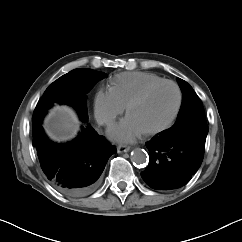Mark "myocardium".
Returning <instances> with one entry per match:
<instances>
[{
	"mask_svg": "<svg viewBox=\"0 0 242 242\" xmlns=\"http://www.w3.org/2000/svg\"><path fill=\"white\" fill-rule=\"evenodd\" d=\"M164 84H169L172 85L176 92H177V102H176V106L175 109L171 115V117L169 118V120L163 124L162 126L152 129V130H148V131H144L143 134L145 136H155L158 135L166 130H168L169 128H171L173 126V124L175 123L180 109H181V105H182V92L180 87L178 86L177 83H175L172 80H167V79H163L161 81L155 82L150 84L149 86H147L145 89H143L137 96H135L127 105V114L129 115L131 110L138 104H140L141 102H143L148 96L149 94L156 89L157 87L164 85Z\"/></svg>",
	"mask_w": 242,
	"mask_h": 242,
	"instance_id": "1",
	"label": "myocardium"
}]
</instances>
